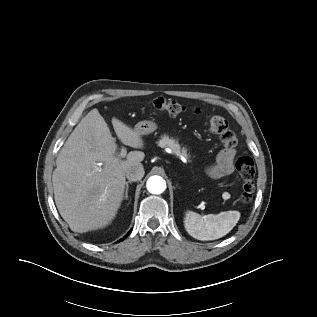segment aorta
Returning a JSON list of instances; mask_svg holds the SVG:
<instances>
[{"label":"aorta","instance_id":"762f6f07","mask_svg":"<svg viewBox=\"0 0 317 317\" xmlns=\"http://www.w3.org/2000/svg\"><path fill=\"white\" fill-rule=\"evenodd\" d=\"M146 187L152 194H161L166 189V181L161 176L154 175L147 180Z\"/></svg>","mask_w":317,"mask_h":317}]
</instances>
